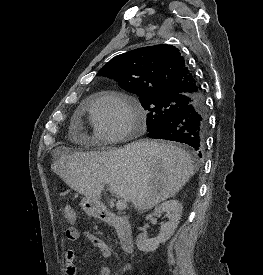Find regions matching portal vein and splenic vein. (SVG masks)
I'll return each mask as SVG.
<instances>
[{
	"label": "portal vein and splenic vein",
	"mask_w": 263,
	"mask_h": 275,
	"mask_svg": "<svg viewBox=\"0 0 263 275\" xmlns=\"http://www.w3.org/2000/svg\"><path fill=\"white\" fill-rule=\"evenodd\" d=\"M127 207V200L126 199H120L116 203V208L118 211H123Z\"/></svg>",
	"instance_id": "portal-vein-and-splenic-vein-1"
}]
</instances>
